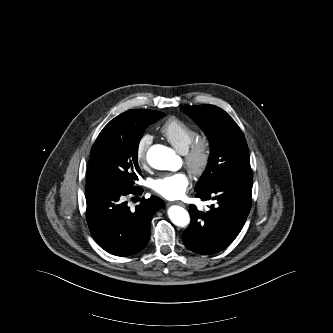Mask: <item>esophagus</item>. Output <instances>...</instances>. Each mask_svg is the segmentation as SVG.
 Instances as JSON below:
<instances>
[{"instance_id":"1","label":"esophagus","mask_w":333,"mask_h":333,"mask_svg":"<svg viewBox=\"0 0 333 333\" xmlns=\"http://www.w3.org/2000/svg\"><path fill=\"white\" fill-rule=\"evenodd\" d=\"M170 204H176V205H179V206H185L183 202H180V201H176V202H173V203H170Z\"/></svg>"}]
</instances>
